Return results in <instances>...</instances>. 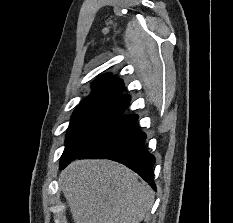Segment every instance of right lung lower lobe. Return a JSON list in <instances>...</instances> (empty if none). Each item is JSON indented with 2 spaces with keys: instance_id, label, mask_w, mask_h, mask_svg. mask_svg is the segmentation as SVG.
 <instances>
[{
  "instance_id": "1",
  "label": "right lung lower lobe",
  "mask_w": 233,
  "mask_h": 223,
  "mask_svg": "<svg viewBox=\"0 0 233 223\" xmlns=\"http://www.w3.org/2000/svg\"><path fill=\"white\" fill-rule=\"evenodd\" d=\"M125 98L128 104L130 97L125 96ZM137 118V115L120 116L83 153L63 154L60 159V168H65L75 159H111L134 170L155 189L152 174L155 158L144 147L146 135L139 130L136 124Z\"/></svg>"
}]
</instances>
